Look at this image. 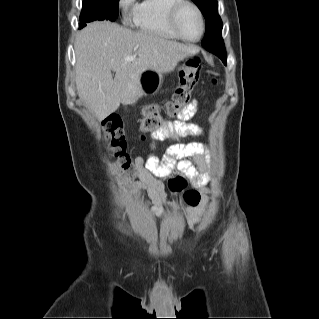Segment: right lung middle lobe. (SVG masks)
<instances>
[{"label": "right lung middle lobe", "mask_w": 319, "mask_h": 319, "mask_svg": "<svg viewBox=\"0 0 319 319\" xmlns=\"http://www.w3.org/2000/svg\"><path fill=\"white\" fill-rule=\"evenodd\" d=\"M118 3L119 0H83L79 28L95 20L115 21L118 16Z\"/></svg>", "instance_id": "dd1d6c3e"}]
</instances>
